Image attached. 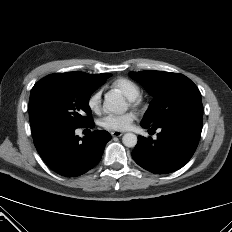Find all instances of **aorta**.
<instances>
[{
  "label": "aorta",
  "instance_id": "aorta-1",
  "mask_svg": "<svg viewBox=\"0 0 232 232\" xmlns=\"http://www.w3.org/2000/svg\"><path fill=\"white\" fill-rule=\"evenodd\" d=\"M103 107L106 111L114 114H123L127 111V104L123 96L115 91L108 92L105 95ZM122 142L126 147H135L137 136L133 133H126L122 137Z\"/></svg>",
  "mask_w": 232,
  "mask_h": 232
}]
</instances>
